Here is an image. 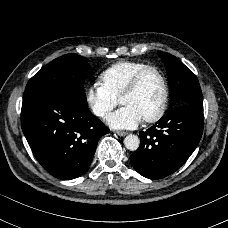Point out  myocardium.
Masks as SVG:
<instances>
[{"label":"myocardium","instance_id":"obj_1","mask_svg":"<svg viewBox=\"0 0 228 228\" xmlns=\"http://www.w3.org/2000/svg\"><path fill=\"white\" fill-rule=\"evenodd\" d=\"M149 72L157 73L159 75V77L161 78L163 87H164V99H163V103H162L161 107L159 108V110L155 114L143 118V120L145 122L152 123V122L159 121L165 115V113L168 109V106H169V101H170V88H169L168 80H167V77L165 76L164 72L159 67L154 66V65H149V66L141 69L140 71H138L135 74V76L132 78L129 85L123 91L121 98H120V102L123 103V100L126 96L132 94L133 92H135L138 89L141 81Z\"/></svg>","mask_w":228,"mask_h":228}]
</instances>
